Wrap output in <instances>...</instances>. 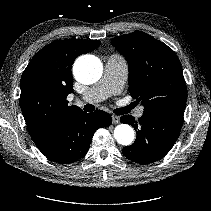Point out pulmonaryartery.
Instances as JSON below:
<instances>
[{"instance_id":"e3ab8cb5","label":"pulmonary artery","mask_w":211,"mask_h":211,"mask_svg":"<svg viewBox=\"0 0 211 211\" xmlns=\"http://www.w3.org/2000/svg\"><path fill=\"white\" fill-rule=\"evenodd\" d=\"M127 75L128 67L126 61L119 55H111L105 63L101 83L84 94L82 100L94 99L96 102L105 100L122 89ZM142 115L143 108L141 107L136 111V116L141 117Z\"/></svg>"}]
</instances>
